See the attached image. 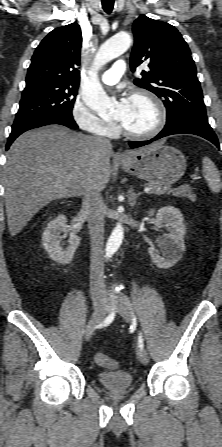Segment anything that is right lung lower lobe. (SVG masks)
<instances>
[{"label": "right lung lower lobe", "mask_w": 222, "mask_h": 447, "mask_svg": "<svg viewBox=\"0 0 222 447\" xmlns=\"http://www.w3.org/2000/svg\"><path fill=\"white\" fill-rule=\"evenodd\" d=\"M50 124H60V125H64L67 126L71 129H77L78 126L75 123V121L73 120L72 116H55V117H51L48 119H44L38 123H34V124H30L27 126H23L21 128L18 129H13L9 138H8V142L6 145V150L10 147V145L12 144V142L23 132L33 129V128H37V127H41V126H45V125H50Z\"/></svg>", "instance_id": "1"}]
</instances>
